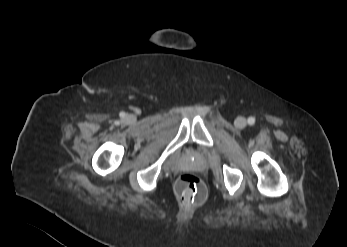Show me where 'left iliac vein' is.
<instances>
[{
    "label": "left iliac vein",
    "mask_w": 347,
    "mask_h": 247,
    "mask_svg": "<svg viewBox=\"0 0 347 247\" xmlns=\"http://www.w3.org/2000/svg\"><path fill=\"white\" fill-rule=\"evenodd\" d=\"M234 124L237 128H244L247 124V121L244 117L239 116L235 119Z\"/></svg>",
    "instance_id": "obj_1"
}]
</instances>
